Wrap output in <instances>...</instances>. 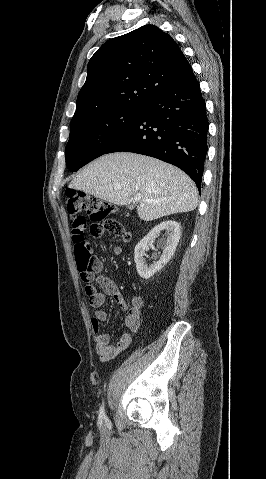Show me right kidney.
Segmentation results:
<instances>
[{"mask_svg":"<svg viewBox=\"0 0 266 479\" xmlns=\"http://www.w3.org/2000/svg\"><path fill=\"white\" fill-rule=\"evenodd\" d=\"M165 230L166 239L164 241L165 247L160 260L151 265L146 264L145 251L149 249L148 243L155 239L157 235ZM181 236L180 224L174 220L163 221L155 226L136 246L134 249V261L136 269L140 277L149 279L156 272L161 270L169 260L173 257L176 247Z\"/></svg>","mask_w":266,"mask_h":479,"instance_id":"ca27d5eb","label":"right kidney"}]
</instances>
